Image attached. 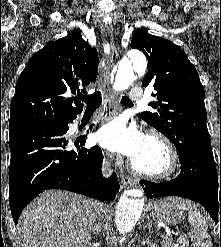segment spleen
I'll return each instance as SVG.
<instances>
[{
  "label": "spleen",
  "instance_id": "spleen-1",
  "mask_svg": "<svg viewBox=\"0 0 221 247\" xmlns=\"http://www.w3.org/2000/svg\"><path fill=\"white\" fill-rule=\"evenodd\" d=\"M183 208L188 211V222L191 226L189 237L193 247H212L210 235L207 233V223L195 205L185 201Z\"/></svg>",
  "mask_w": 221,
  "mask_h": 247
}]
</instances>
